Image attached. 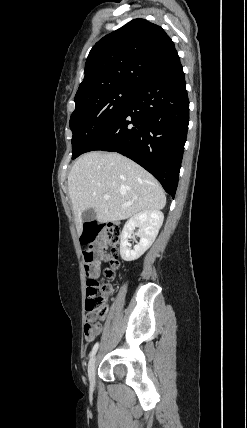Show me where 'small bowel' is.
Instances as JSON below:
<instances>
[{"mask_svg":"<svg viewBox=\"0 0 247 428\" xmlns=\"http://www.w3.org/2000/svg\"><path fill=\"white\" fill-rule=\"evenodd\" d=\"M99 271H100L99 266L94 265L91 275L93 277H97L99 275ZM101 331H102V325L100 323H96V331L92 335H85L86 340L92 341Z\"/></svg>","mask_w":247,"mask_h":428,"instance_id":"c3829d8e","label":"small bowel"}]
</instances>
